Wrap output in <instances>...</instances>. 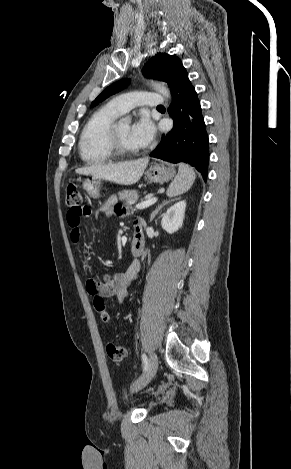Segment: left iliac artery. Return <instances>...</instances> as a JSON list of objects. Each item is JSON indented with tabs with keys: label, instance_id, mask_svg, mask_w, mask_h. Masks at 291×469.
<instances>
[{
	"label": "left iliac artery",
	"instance_id": "obj_1",
	"mask_svg": "<svg viewBox=\"0 0 291 469\" xmlns=\"http://www.w3.org/2000/svg\"><path fill=\"white\" fill-rule=\"evenodd\" d=\"M142 360H143L144 370H146L148 366V358L145 354H142Z\"/></svg>",
	"mask_w": 291,
	"mask_h": 469
}]
</instances>
